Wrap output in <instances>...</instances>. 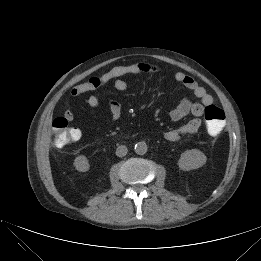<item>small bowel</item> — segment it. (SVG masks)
<instances>
[{"label": "small bowel", "mask_w": 261, "mask_h": 261, "mask_svg": "<svg viewBox=\"0 0 261 261\" xmlns=\"http://www.w3.org/2000/svg\"><path fill=\"white\" fill-rule=\"evenodd\" d=\"M156 71L157 68L148 63H134L117 66L100 76L91 77L89 80L75 85L71 89V95L80 96L83 94H88L86 100L87 104L92 108H98L100 101L95 95V91L101 86L113 82L114 87L117 90L124 91L128 86L127 81L125 80L127 76L151 74ZM174 79L175 81L182 84L186 89L190 90L199 101L192 102L189 99H184L170 111V118L174 121L182 120L190 114L193 116V118L176 128H172L166 131L164 133V138L168 141H177L183 135L196 133L201 127V117L204 114L205 107L213 103V97L191 76L183 72H176L174 74ZM108 107L111 119L114 121L119 119L122 113V107L120 103L115 100H110ZM64 117L68 122H72L75 120L76 115L71 110H65Z\"/></svg>", "instance_id": "c3829d8e"}]
</instances>
